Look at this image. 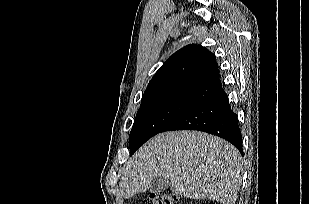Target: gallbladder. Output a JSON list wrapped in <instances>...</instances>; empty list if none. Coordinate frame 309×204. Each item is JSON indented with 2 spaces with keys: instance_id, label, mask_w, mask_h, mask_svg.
Listing matches in <instances>:
<instances>
[{
  "instance_id": "bac80fb5",
  "label": "gallbladder",
  "mask_w": 309,
  "mask_h": 204,
  "mask_svg": "<svg viewBox=\"0 0 309 204\" xmlns=\"http://www.w3.org/2000/svg\"><path fill=\"white\" fill-rule=\"evenodd\" d=\"M170 187V181L163 176L155 178L151 184L150 192L160 193Z\"/></svg>"
}]
</instances>
